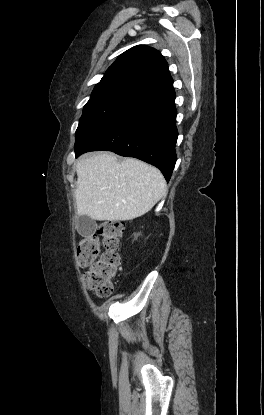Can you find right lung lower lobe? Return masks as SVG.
Here are the masks:
<instances>
[{"mask_svg": "<svg viewBox=\"0 0 264 415\" xmlns=\"http://www.w3.org/2000/svg\"><path fill=\"white\" fill-rule=\"evenodd\" d=\"M174 100L173 88L142 100L84 147L75 150L76 157L88 151H113L156 166L168 181L177 160Z\"/></svg>", "mask_w": 264, "mask_h": 415, "instance_id": "right-lung-lower-lobe-1", "label": "right lung lower lobe"}]
</instances>
